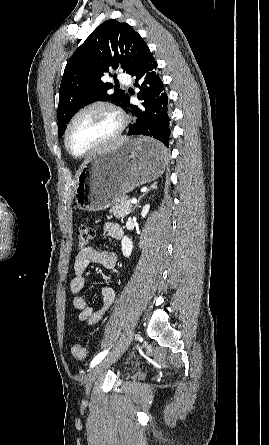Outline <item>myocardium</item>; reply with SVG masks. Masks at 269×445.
<instances>
[{
    "label": "myocardium",
    "mask_w": 269,
    "mask_h": 445,
    "mask_svg": "<svg viewBox=\"0 0 269 445\" xmlns=\"http://www.w3.org/2000/svg\"><path fill=\"white\" fill-rule=\"evenodd\" d=\"M93 109H103V110H106L107 112H109L116 120L115 129L113 130V132L110 135H108L106 138H104L103 140H101L100 142L95 144L93 147H91L87 151H85L81 154H74L71 151L69 144H68V137H69L71 128L74 125V123L76 122V120L82 114H84L88 111H91ZM125 127H126V118H125L124 113L121 111V109H119L116 105H114L113 103H111L109 101H104V100L94 101V102H91V103L79 108L67 122L65 131L63 134L64 147L70 156H72L73 158H76V159H82V158L88 157V156L100 151L101 149L105 148L106 146H108L109 144L114 142L123 133Z\"/></svg>",
    "instance_id": "1"
}]
</instances>
